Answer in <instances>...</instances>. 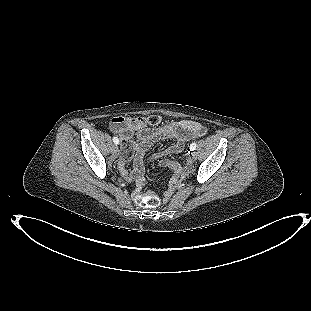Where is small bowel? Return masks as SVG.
I'll list each match as a JSON object with an SVG mask.
<instances>
[{"mask_svg":"<svg viewBox=\"0 0 311 311\" xmlns=\"http://www.w3.org/2000/svg\"><path fill=\"white\" fill-rule=\"evenodd\" d=\"M110 129L112 132L117 133L123 142V149L120 154L121 173L136 183L137 189L134 191V196L139 193L140 187L145 181L143 156L154 142L168 139L176 141L174 144L151 155L149 158L151 162L180 153L189 140L202 135L204 132L201 124L193 120L166 123L157 128L150 129L144 126L142 118L127 116L112 118ZM134 133L138 134L137 141L133 140ZM130 158L133 161V170L129 176L124 169V164ZM162 164L171 168L176 174H179L182 170L180 165L172 160H162Z\"/></svg>","mask_w":311,"mask_h":311,"instance_id":"c3829d8e","label":"small bowel"}]
</instances>
